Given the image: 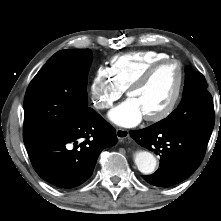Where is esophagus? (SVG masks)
I'll list each match as a JSON object with an SVG mask.
<instances>
[{
  "mask_svg": "<svg viewBox=\"0 0 221 221\" xmlns=\"http://www.w3.org/2000/svg\"><path fill=\"white\" fill-rule=\"evenodd\" d=\"M116 136L119 140H123L129 136V131L127 129H117Z\"/></svg>",
  "mask_w": 221,
  "mask_h": 221,
  "instance_id": "obj_1",
  "label": "esophagus"
}]
</instances>
